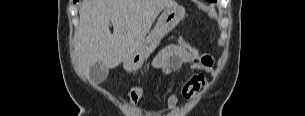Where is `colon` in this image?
Segmentation results:
<instances>
[{"label": "colon", "mask_w": 305, "mask_h": 116, "mask_svg": "<svg viewBox=\"0 0 305 116\" xmlns=\"http://www.w3.org/2000/svg\"><path fill=\"white\" fill-rule=\"evenodd\" d=\"M145 93L143 85H136L132 87L128 93L127 103L129 108L135 109L141 103Z\"/></svg>", "instance_id": "obj_1"}]
</instances>
